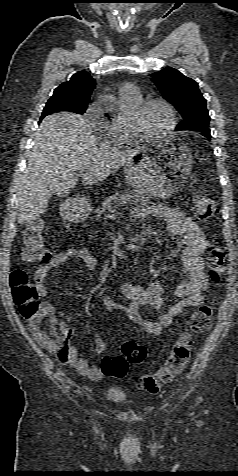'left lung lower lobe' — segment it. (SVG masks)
Here are the masks:
<instances>
[{
  "label": "left lung lower lobe",
  "mask_w": 238,
  "mask_h": 476,
  "mask_svg": "<svg viewBox=\"0 0 238 476\" xmlns=\"http://www.w3.org/2000/svg\"><path fill=\"white\" fill-rule=\"evenodd\" d=\"M205 137H207L209 140L211 139L210 131L201 129V131Z\"/></svg>",
  "instance_id": "left-lung-lower-lobe-1"
}]
</instances>
